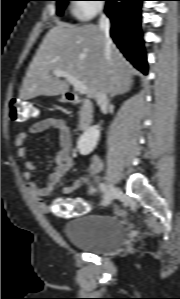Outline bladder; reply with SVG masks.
<instances>
[{"instance_id":"31cf9c89","label":"bladder","mask_w":180,"mask_h":299,"mask_svg":"<svg viewBox=\"0 0 180 299\" xmlns=\"http://www.w3.org/2000/svg\"><path fill=\"white\" fill-rule=\"evenodd\" d=\"M64 235L86 252L109 254L123 246L127 230L122 220L112 215H82L65 224Z\"/></svg>"}]
</instances>
